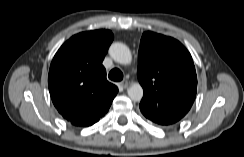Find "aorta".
Returning <instances> with one entry per match:
<instances>
[{
	"instance_id": "1",
	"label": "aorta",
	"mask_w": 244,
	"mask_h": 157,
	"mask_svg": "<svg viewBox=\"0 0 244 157\" xmlns=\"http://www.w3.org/2000/svg\"><path fill=\"white\" fill-rule=\"evenodd\" d=\"M109 54L115 62L120 64H130L132 55L130 49L123 43H113L109 48ZM132 101L138 102L143 97V88L139 83H133L127 90Z\"/></svg>"
}]
</instances>
